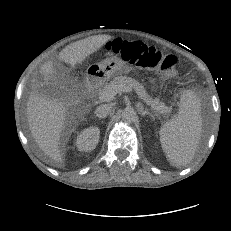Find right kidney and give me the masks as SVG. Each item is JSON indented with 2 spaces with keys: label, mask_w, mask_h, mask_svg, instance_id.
<instances>
[{
  "label": "right kidney",
  "mask_w": 231,
  "mask_h": 231,
  "mask_svg": "<svg viewBox=\"0 0 231 231\" xmlns=\"http://www.w3.org/2000/svg\"><path fill=\"white\" fill-rule=\"evenodd\" d=\"M100 137V130L96 126H91L82 130L77 136L75 145L79 151H92L96 148Z\"/></svg>",
  "instance_id": "ca27d5eb"
}]
</instances>
